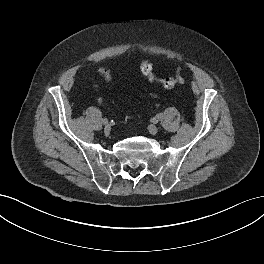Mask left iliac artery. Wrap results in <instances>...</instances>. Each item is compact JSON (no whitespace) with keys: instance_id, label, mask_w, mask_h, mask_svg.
I'll return each mask as SVG.
<instances>
[{"instance_id":"obj_1","label":"left iliac artery","mask_w":264,"mask_h":264,"mask_svg":"<svg viewBox=\"0 0 264 264\" xmlns=\"http://www.w3.org/2000/svg\"><path fill=\"white\" fill-rule=\"evenodd\" d=\"M163 117V115L161 113L157 114L154 118H153V122H157L159 120H161Z\"/></svg>"}]
</instances>
